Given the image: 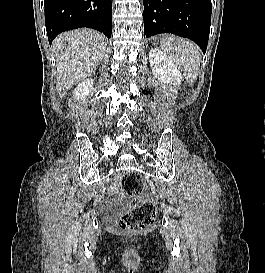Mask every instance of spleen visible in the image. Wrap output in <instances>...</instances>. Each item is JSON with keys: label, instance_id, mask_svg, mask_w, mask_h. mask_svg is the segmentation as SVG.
<instances>
[{"label": "spleen", "instance_id": "obj_1", "mask_svg": "<svg viewBox=\"0 0 265 273\" xmlns=\"http://www.w3.org/2000/svg\"><path fill=\"white\" fill-rule=\"evenodd\" d=\"M161 49L183 71L189 82L192 83L196 79L201 62L197 45L186 39L167 35L161 41Z\"/></svg>", "mask_w": 265, "mask_h": 273}]
</instances>
